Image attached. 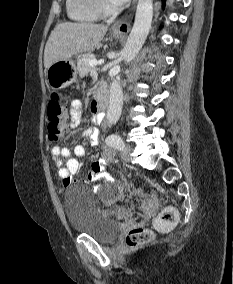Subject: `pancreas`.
<instances>
[{
	"mask_svg": "<svg viewBox=\"0 0 233 284\" xmlns=\"http://www.w3.org/2000/svg\"><path fill=\"white\" fill-rule=\"evenodd\" d=\"M95 59V56L93 54H85L81 56L77 61V69L79 75L85 76L90 72L93 68L89 65V61Z\"/></svg>",
	"mask_w": 233,
	"mask_h": 284,
	"instance_id": "pancreas-1",
	"label": "pancreas"
}]
</instances>
